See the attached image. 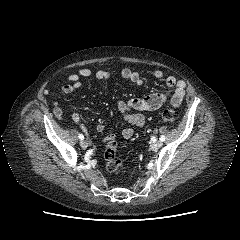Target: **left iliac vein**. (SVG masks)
Returning a JSON list of instances; mask_svg holds the SVG:
<instances>
[{
	"label": "left iliac vein",
	"instance_id": "4c4485c4",
	"mask_svg": "<svg viewBox=\"0 0 240 240\" xmlns=\"http://www.w3.org/2000/svg\"><path fill=\"white\" fill-rule=\"evenodd\" d=\"M162 145H163L162 141H156V142L154 143V147H155L156 149L162 147Z\"/></svg>",
	"mask_w": 240,
	"mask_h": 240
}]
</instances>
